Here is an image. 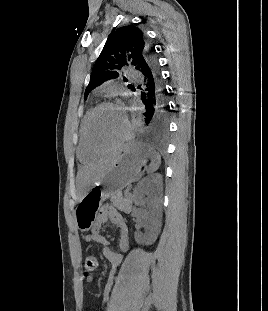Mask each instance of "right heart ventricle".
<instances>
[{
  "mask_svg": "<svg viewBox=\"0 0 268 311\" xmlns=\"http://www.w3.org/2000/svg\"><path fill=\"white\" fill-rule=\"evenodd\" d=\"M90 110H88L86 112V114L84 115L81 124H80V128H79V141H78V146H77V156L79 158V160L83 163H89L94 161L97 158V154H94L93 152H91L86 143H85V139H84V124H85V120L89 114Z\"/></svg>",
  "mask_w": 268,
  "mask_h": 311,
  "instance_id": "obj_1",
  "label": "right heart ventricle"
}]
</instances>
